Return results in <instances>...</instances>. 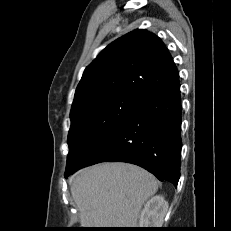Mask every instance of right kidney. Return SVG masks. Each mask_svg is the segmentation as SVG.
I'll return each mask as SVG.
<instances>
[{
  "instance_id": "ca27d5eb",
  "label": "right kidney",
  "mask_w": 231,
  "mask_h": 231,
  "mask_svg": "<svg viewBox=\"0 0 231 231\" xmlns=\"http://www.w3.org/2000/svg\"><path fill=\"white\" fill-rule=\"evenodd\" d=\"M168 210V203L161 195H156L146 202L140 215L142 228H160Z\"/></svg>"
}]
</instances>
